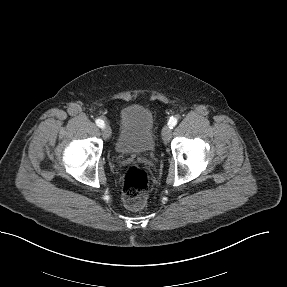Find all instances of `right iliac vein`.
<instances>
[{"label": "right iliac vein", "mask_w": 287, "mask_h": 287, "mask_svg": "<svg viewBox=\"0 0 287 287\" xmlns=\"http://www.w3.org/2000/svg\"><path fill=\"white\" fill-rule=\"evenodd\" d=\"M102 134L104 139H109L111 136V129L108 125L104 126L102 129Z\"/></svg>", "instance_id": "63e3f726"}]
</instances>
